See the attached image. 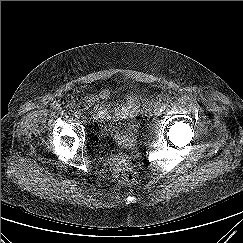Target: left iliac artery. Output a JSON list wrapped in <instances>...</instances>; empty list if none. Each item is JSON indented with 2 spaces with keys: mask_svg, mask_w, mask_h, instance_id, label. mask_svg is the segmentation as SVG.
Segmentation results:
<instances>
[{
  "mask_svg": "<svg viewBox=\"0 0 243 243\" xmlns=\"http://www.w3.org/2000/svg\"><path fill=\"white\" fill-rule=\"evenodd\" d=\"M166 107H167V104H163V105L161 106V111H164V110L166 109Z\"/></svg>",
  "mask_w": 243,
  "mask_h": 243,
  "instance_id": "1",
  "label": "left iliac artery"
}]
</instances>
